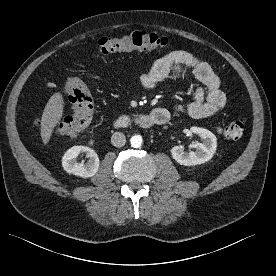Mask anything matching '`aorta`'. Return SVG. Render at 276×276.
I'll return each instance as SVG.
<instances>
[{
  "mask_svg": "<svg viewBox=\"0 0 276 276\" xmlns=\"http://www.w3.org/2000/svg\"><path fill=\"white\" fill-rule=\"evenodd\" d=\"M131 146L134 148H139L141 147L143 143V139L140 135H134L130 139Z\"/></svg>",
  "mask_w": 276,
  "mask_h": 276,
  "instance_id": "1",
  "label": "aorta"
}]
</instances>
